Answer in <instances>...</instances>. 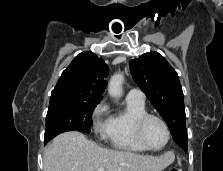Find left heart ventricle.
Returning <instances> with one entry per match:
<instances>
[{
	"label": "left heart ventricle",
	"instance_id": "1",
	"mask_svg": "<svg viewBox=\"0 0 223 171\" xmlns=\"http://www.w3.org/2000/svg\"><path fill=\"white\" fill-rule=\"evenodd\" d=\"M144 136L151 146L160 147L167 139V132L161 122L151 119L145 125Z\"/></svg>",
	"mask_w": 223,
	"mask_h": 171
}]
</instances>
